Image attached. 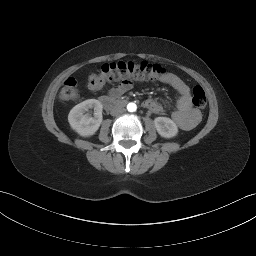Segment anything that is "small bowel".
<instances>
[{
    "mask_svg": "<svg viewBox=\"0 0 256 256\" xmlns=\"http://www.w3.org/2000/svg\"><path fill=\"white\" fill-rule=\"evenodd\" d=\"M161 80L170 85L179 94L177 109L171 115L173 121L182 130L188 131L193 129L200 122L201 113L192 105L189 86L173 73L165 74L161 77ZM132 88L133 82L129 79H123L118 85L109 90L108 95L118 98ZM143 106L154 113H161L163 111L161 104L154 99L145 100Z\"/></svg>",
    "mask_w": 256,
    "mask_h": 256,
    "instance_id": "small-bowel-1",
    "label": "small bowel"
}]
</instances>
